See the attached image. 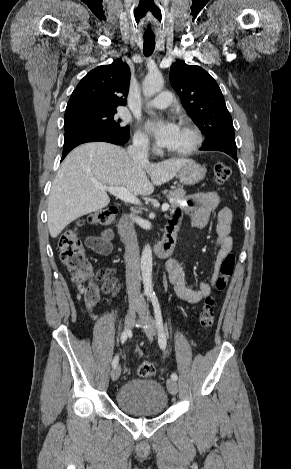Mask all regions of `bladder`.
<instances>
[{
    "mask_svg": "<svg viewBox=\"0 0 291 469\" xmlns=\"http://www.w3.org/2000/svg\"><path fill=\"white\" fill-rule=\"evenodd\" d=\"M118 407L135 416H157L165 412L168 395L154 379L131 378L116 393Z\"/></svg>",
    "mask_w": 291,
    "mask_h": 469,
    "instance_id": "1",
    "label": "bladder"
}]
</instances>
